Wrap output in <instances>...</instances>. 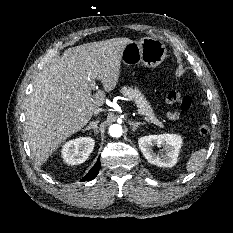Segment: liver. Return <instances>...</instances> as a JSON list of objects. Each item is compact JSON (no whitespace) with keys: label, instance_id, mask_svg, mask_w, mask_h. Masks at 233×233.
Segmentation results:
<instances>
[{"label":"liver","instance_id":"liver-1","mask_svg":"<svg viewBox=\"0 0 233 233\" xmlns=\"http://www.w3.org/2000/svg\"><path fill=\"white\" fill-rule=\"evenodd\" d=\"M129 38H112L67 49L35 80L28 98L25 133L32 155L43 164L62 142L81 130L117 85ZM104 90L92 94L90 80Z\"/></svg>","mask_w":233,"mask_h":233}]
</instances>
